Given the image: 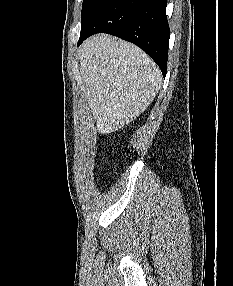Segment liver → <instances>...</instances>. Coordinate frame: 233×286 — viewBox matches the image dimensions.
I'll use <instances>...</instances> for the list:
<instances>
[{"label":"liver","instance_id":"1","mask_svg":"<svg viewBox=\"0 0 233 286\" xmlns=\"http://www.w3.org/2000/svg\"><path fill=\"white\" fill-rule=\"evenodd\" d=\"M80 73L88 105L101 134H110L139 116L162 84L158 66L132 43L95 35L79 48Z\"/></svg>","mask_w":233,"mask_h":286}]
</instances>
